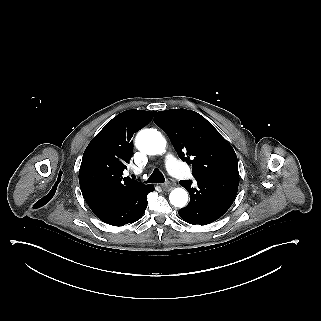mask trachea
Wrapping results in <instances>:
<instances>
[{
    "mask_svg": "<svg viewBox=\"0 0 321 321\" xmlns=\"http://www.w3.org/2000/svg\"><path fill=\"white\" fill-rule=\"evenodd\" d=\"M134 177V175H133ZM165 181L163 174L159 169H154L153 173L150 175L146 183H163Z\"/></svg>",
    "mask_w": 321,
    "mask_h": 321,
    "instance_id": "1",
    "label": "trachea"
}]
</instances>
